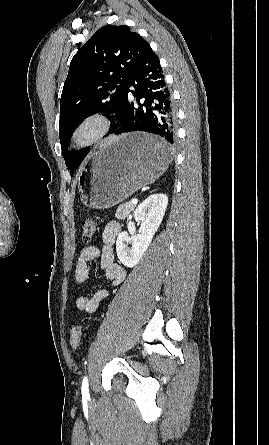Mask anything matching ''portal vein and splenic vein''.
Wrapping results in <instances>:
<instances>
[{"label": "portal vein and splenic vein", "instance_id": "1", "mask_svg": "<svg viewBox=\"0 0 269 445\" xmlns=\"http://www.w3.org/2000/svg\"><path fill=\"white\" fill-rule=\"evenodd\" d=\"M131 203L134 204V205L137 204V199H132Z\"/></svg>", "mask_w": 269, "mask_h": 445}]
</instances>
